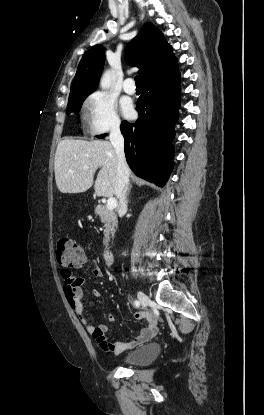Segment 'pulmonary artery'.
Masks as SVG:
<instances>
[{"instance_id": "pulmonary-artery-1", "label": "pulmonary artery", "mask_w": 264, "mask_h": 415, "mask_svg": "<svg viewBox=\"0 0 264 415\" xmlns=\"http://www.w3.org/2000/svg\"><path fill=\"white\" fill-rule=\"evenodd\" d=\"M123 90L127 94H131V95L135 93L136 87H135L133 78L129 77V78H127V79L124 80V82H123Z\"/></svg>"}]
</instances>
